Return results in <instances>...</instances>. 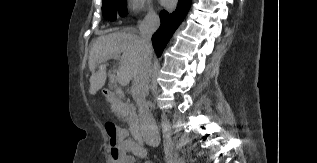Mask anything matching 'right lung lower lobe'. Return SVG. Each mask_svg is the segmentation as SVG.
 <instances>
[{"instance_id":"1","label":"right lung lower lobe","mask_w":317,"mask_h":163,"mask_svg":"<svg viewBox=\"0 0 317 163\" xmlns=\"http://www.w3.org/2000/svg\"><path fill=\"white\" fill-rule=\"evenodd\" d=\"M192 0H179L174 12L163 10L160 13L161 26L152 37L153 47L157 56H161L167 42L187 14Z\"/></svg>"}]
</instances>
